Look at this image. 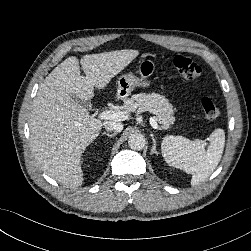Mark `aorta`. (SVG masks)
Returning <instances> with one entry per match:
<instances>
[{"label": "aorta", "instance_id": "1", "mask_svg": "<svg viewBox=\"0 0 251 251\" xmlns=\"http://www.w3.org/2000/svg\"><path fill=\"white\" fill-rule=\"evenodd\" d=\"M128 144L133 150H141L145 146V138L140 133L131 134L128 139Z\"/></svg>", "mask_w": 251, "mask_h": 251}]
</instances>
